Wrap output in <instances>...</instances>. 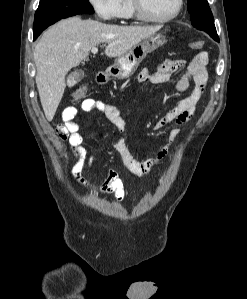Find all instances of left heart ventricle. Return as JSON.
I'll return each instance as SVG.
<instances>
[{
  "instance_id": "1",
  "label": "left heart ventricle",
  "mask_w": 247,
  "mask_h": 299,
  "mask_svg": "<svg viewBox=\"0 0 247 299\" xmlns=\"http://www.w3.org/2000/svg\"><path fill=\"white\" fill-rule=\"evenodd\" d=\"M146 13L152 17L169 16L176 8L177 0H142Z\"/></svg>"
}]
</instances>
